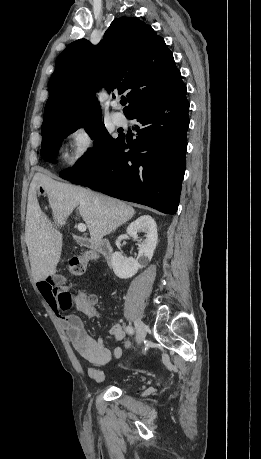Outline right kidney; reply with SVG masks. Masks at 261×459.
Returning <instances> with one entry per match:
<instances>
[{
  "mask_svg": "<svg viewBox=\"0 0 261 459\" xmlns=\"http://www.w3.org/2000/svg\"><path fill=\"white\" fill-rule=\"evenodd\" d=\"M138 232H144L143 242L138 241V257L127 258L121 252L112 255V267L115 275L121 279L134 276L139 269L151 261L158 242V233L155 220L150 215H143L132 222L127 228V234L138 240Z\"/></svg>",
  "mask_w": 261,
  "mask_h": 459,
  "instance_id": "obj_1",
  "label": "right kidney"
}]
</instances>
